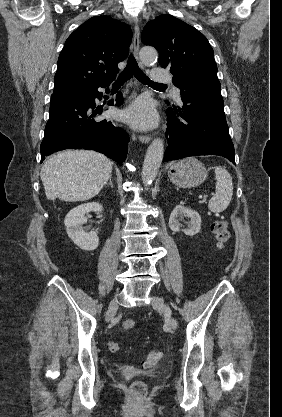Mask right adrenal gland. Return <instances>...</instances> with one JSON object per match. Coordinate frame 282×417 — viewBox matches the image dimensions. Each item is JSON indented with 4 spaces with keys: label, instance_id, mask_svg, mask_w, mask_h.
Instances as JSON below:
<instances>
[{
    "label": "right adrenal gland",
    "instance_id": "2a0ac1e0",
    "mask_svg": "<svg viewBox=\"0 0 282 417\" xmlns=\"http://www.w3.org/2000/svg\"><path fill=\"white\" fill-rule=\"evenodd\" d=\"M109 186H112V188H114L113 186V182H112V176H109V182H108Z\"/></svg>",
    "mask_w": 282,
    "mask_h": 417
}]
</instances>
